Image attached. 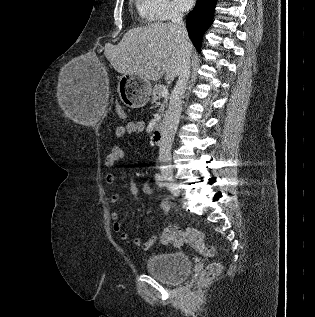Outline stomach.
Wrapping results in <instances>:
<instances>
[{"label": "stomach", "mask_w": 315, "mask_h": 317, "mask_svg": "<svg viewBox=\"0 0 315 317\" xmlns=\"http://www.w3.org/2000/svg\"><path fill=\"white\" fill-rule=\"evenodd\" d=\"M117 91L121 101L130 108H141L149 101L152 86L150 81L137 75H122L118 80Z\"/></svg>", "instance_id": "stomach-1"}]
</instances>
